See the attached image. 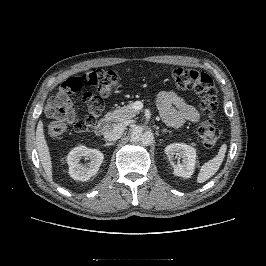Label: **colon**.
Listing matches in <instances>:
<instances>
[{
	"instance_id": "colon-1",
	"label": "colon",
	"mask_w": 266,
	"mask_h": 266,
	"mask_svg": "<svg viewBox=\"0 0 266 266\" xmlns=\"http://www.w3.org/2000/svg\"><path fill=\"white\" fill-rule=\"evenodd\" d=\"M172 80L179 89H189L197 92L202 98L204 120L198 127L197 134L200 142L207 148H213L220 137L219 130L214 125V115L218 109L217 91L212 78L198 70L177 67L172 70ZM119 77L116 72L107 69L88 71L68 79L47 105L49 116L48 133L52 137L61 136L70 124L77 131L90 130L102 111L104 99L108 98L118 86ZM95 86L99 92L93 95L83 92L80 95L85 105L82 115L74 113L70 121L58 116V109L63 97L72 92L80 91L84 86Z\"/></svg>"
}]
</instances>
